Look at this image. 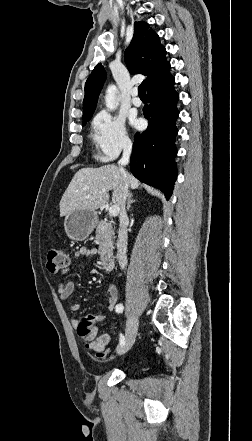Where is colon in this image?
Wrapping results in <instances>:
<instances>
[{
  "mask_svg": "<svg viewBox=\"0 0 252 441\" xmlns=\"http://www.w3.org/2000/svg\"><path fill=\"white\" fill-rule=\"evenodd\" d=\"M68 264L69 258L63 250L59 248H51L48 251L46 267L50 273H57L66 268ZM106 314V311H98L90 313L86 317L80 319L76 324V329L79 335L86 338V336L91 333L96 323L103 321L106 318ZM107 354V351L98 352L96 353V357L103 359Z\"/></svg>",
  "mask_w": 252,
  "mask_h": 441,
  "instance_id": "obj_1",
  "label": "colon"
}]
</instances>
